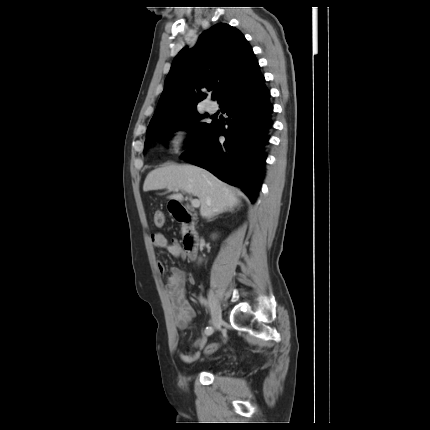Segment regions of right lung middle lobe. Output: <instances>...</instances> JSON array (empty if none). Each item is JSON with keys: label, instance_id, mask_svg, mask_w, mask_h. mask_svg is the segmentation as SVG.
Masks as SVG:
<instances>
[{"label": "right lung middle lobe", "instance_id": "obj_1", "mask_svg": "<svg viewBox=\"0 0 430 430\" xmlns=\"http://www.w3.org/2000/svg\"><path fill=\"white\" fill-rule=\"evenodd\" d=\"M204 116H207L206 114ZM203 115L199 114L197 109H191L177 114L167 120L153 125L147 130V139L145 141V148L149 146V142L165 136H172L176 130L188 129L190 137L188 139L186 153L193 152L198 148L208 137L210 131L214 127L216 121L212 123H200Z\"/></svg>", "mask_w": 430, "mask_h": 430}]
</instances>
